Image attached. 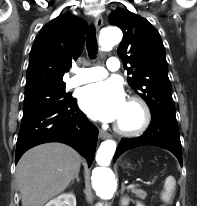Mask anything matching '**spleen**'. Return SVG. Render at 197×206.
<instances>
[{"instance_id": "3e777b00", "label": "spleen", "mask_w": 197, "mask_h": 206, "mask_svg": "<svg viewBox=\"0 0 197 206\" xmlns=\"http://www.w3.org/2000/svg\"><path fill=\"white\" fill-rule=\"evenodd\" d=\"M176 187V180L173 176L165 179L164 190L161 193V199L165 203H170Z\"/></svg>"}]
</instances>
